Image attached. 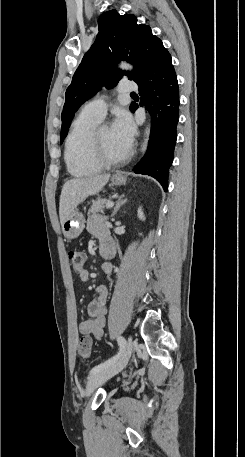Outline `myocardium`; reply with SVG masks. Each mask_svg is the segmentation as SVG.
I'll list each match as a JSON object with an SVG mask.
<instances>
[{"label": "myocardium", "mask_w": 245, "mask_h": 457, "mask_svg": "<svg viewBox=\"0 0 245 457\" xmlns=\"http://www.w3.org/2000/svg\"><path fill=\"white\" fill-rule=\"evenodd\" d=\"M103 126L100 127H94L92 128L86 135L85 140H84V151H83V157L84 159L92 166L96 168H104V167H110L113 165H116L118 163H121L123 161H126L129 158L130 152L127 150L123 155L118 156V157H103V158H98L95 153H94V143H95V138L98 133V131L102 128Z\"/></svg>", "instance_id": "f54148a6"}]
</instances>
